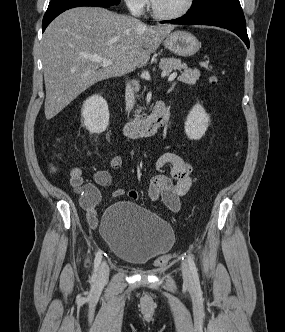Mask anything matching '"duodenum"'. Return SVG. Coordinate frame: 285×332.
<instances>
[{
    "mask_svg": "<svg viewBox=\"0 0 285 332\" xmlns=\"http://www.w3.org/2000/svg\"><path fill=\"white\" fill-rule=\"evenodd\" d=\"M168 120V112L162 101L156 103L150 116L142 121L129 122L123 126V134L130 138H143L154 135Z\"/></svg>",
    "mask_w": 285,
    "mask_h": 332,
    "instance_id": "1",
    "label": "duodenum"
}]
</instances>
